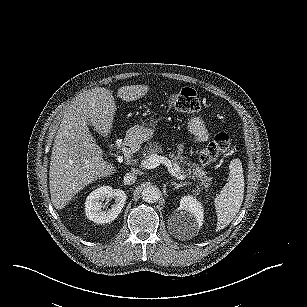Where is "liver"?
Masks as SVG:
<instances>
[{
	"label": "liver",
	"instance_id": "obj_1",
	"mask_svg": "<svg viewBox=\"0 0 307 307\" xmlns=\"http://www.w3.org/2000/svg\"><path fill=\"white\" fill-rule=\"evenodd\" d=\"M146 86H125L118 90L122 100L142 97ZM115 103L105 88H94L77 97L65 113L54 137L49 189L52 204L63 208L83 186L97 177L108 175L112 166L106 163L102 151L91 136L87 120L101 134L110 131Z\"/></svg>",
	"mask_w": 307,
	"mask_h": 307
}]
</instances>
